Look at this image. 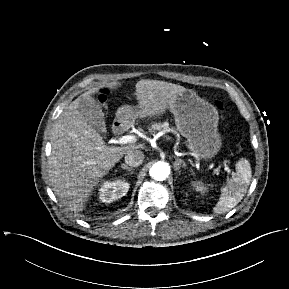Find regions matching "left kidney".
Wrapping results in <instances>:
<instances>
[{"mask_svg": "<svg viewBox=\"0 0 289 289\" xmlns=\"http://www.w3.org/2000/svg\"><path fill=\"white\" fill-rule=\"evenodd\" d=\"M192 186L195 188L196 191H199L201 193H204L206 191V187L200 181H193Z\"/></svg>", "mask_w": 289, "mask_h": 289, "instance_id": "left-kidney-1", "label": "left kidney"}]
</instances>
